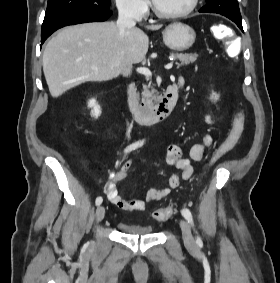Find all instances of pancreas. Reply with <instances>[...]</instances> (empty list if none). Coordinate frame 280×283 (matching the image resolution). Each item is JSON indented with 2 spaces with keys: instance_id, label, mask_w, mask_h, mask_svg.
<instances>
[{
  "instance_id": "obj_1",
  "label": "pancreas",
  "mask_w": 280,
  "mask_h": 283,
  "mask_svg": "<svg viewBox=\"0 0 280 283\" xmlns=\"http://www.w3.org/2000/svg\"><path fill=\"white\" fill-rule=\"evenodd\" d=\"M171 57H174L175 59L179 60L180 63H176L177 68L183 66V65H189L190 63H193L197 59L196 53H170ZM157 90L153 87L152 83L149 82L148 85H143V92H142V102L147 107H152L155 102L159 100Z\"/></svg>"
}]
</instances>
